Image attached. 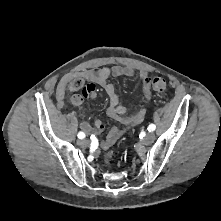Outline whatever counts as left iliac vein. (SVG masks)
<instances>
[{"mask_svg": "<svg viewBox=\"0 0 221 221\" xmlns=\"http://www.w3.org/2000/svg\"><path fill=\"white\" fill-rule=\"evenodd\" d=\"M155 140V135L154 133H148L143 139H142V144L144 145H149Z\"/></svg>", "mask_w": 221, "mask_h": 221, "instance_id": "obj_1", "label": "left iliac vein"}]
</instances>
